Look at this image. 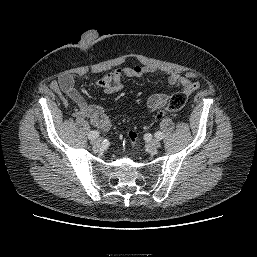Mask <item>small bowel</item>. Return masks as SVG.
Listing matches in <instances>:
<instances>
[{"label": "small bowel", "mask_w": 257, "mask_h": 257, "mask_svg": "<svg viewBox=\"0 0 257 257\" xmlns=\"http://www.w3.org/2000/svg\"><path fill=\"white\" fill-rule=\"evenodd\" d=\"M155 69L151 67H125L117 68L102 76L97 81L106 94H116L123 89L121 79L123 77L141 78L145 74L154 73ZM167 75V85L173 87H182L188 95L198 88L195 75L187 73L180 75L176 72H164ZM76 77L72 73L63 74L59 79L51 84L52 89L58 94H64L71 99L76 105L75 116L87 118L91 125L101 131H108L112 126V121L107 115L105 109L97 104L88 103L75 88ZM169 100L166 94H153L147 100V109L150 112L163 108Z\"/></svg>", "instance_id": "c3829d8e"}]
</instances>
